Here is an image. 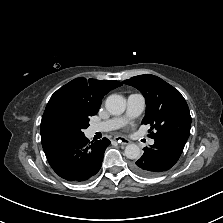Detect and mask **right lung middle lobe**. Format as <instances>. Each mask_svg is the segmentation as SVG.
Wrapping results in <instances>:
<instances>
[{
    "mask_svg": "<svg viewBox=\"0 0 223 223\" xmlns=\"http://www.w3.org/2000/svg\"><path fill=\"white\" fill-rule=\"evenodd\" d=\"M64 132L71 138L84 136L83 129L89 126V117L81 114H71L62 120Z\"/></svg>",
    "mask_w": 223,
    "mask_h": 223,
    "instance_id": "dd1d6c3e",
    "label": "right lung middle lobe"
}]
</instances>
